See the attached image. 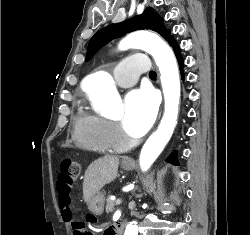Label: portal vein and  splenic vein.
Here are the masks:
<instances>
[{
  "label": "portal vein and splenic vein",
  "instance_id": "1",
  "mask_svg": "<svg viewBox=\"0 0 250 235\" xmlns=\"http://www.w3.org/2000/svg\"><path fill=\"white\" fill-rule=\"evenodd\" d=\"M119 204H121V199L116 200V205H119Z\"/></svg>",
  "mask_w": 250,
  "mask_h": 235
}]
</instances>
